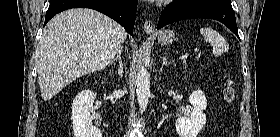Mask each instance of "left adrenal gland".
Wrapping results in <instances>:
<instances>
[{"instance_id":"obj_1","label":"left adrenal gland","mask_w":280,"mask_h":137,"mask_svg":"<svg viewBox=\"0 0 280 137\" xmlns=\"http://www.w3.org/2000/svg\"><path fill=\"white\" fill-rule=\"evenodd\" d=\"M160 59L162 60V67L160 70H162L165 65L173 63V61H168L167 56H160Z\"/></svg>"}]
</instances>
